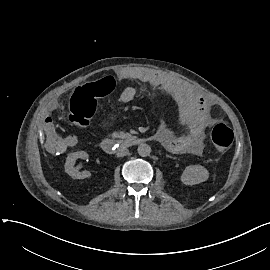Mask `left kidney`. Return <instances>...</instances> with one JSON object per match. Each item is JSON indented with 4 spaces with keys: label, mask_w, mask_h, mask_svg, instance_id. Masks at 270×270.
I'll use <instances>...</instances> for the list:
<instances>
[{
    "label": "left kidney",
    "mask_w": 270,
    "mask_h": 270,
    "mask_svg": "<svg viewBox=\"0 0 270 270\" xmlns=\"http://www.w3.org/2000/svg\"><path fill=\"white\" fill-rule=\"evenodd\" d=\"M210 173L206 167L196 164L188 165L180 176V180L183 184L193 186L201 184L209 179Z\"/></svg>",
    "instance_id": "obj_1"
}]
</instances>
